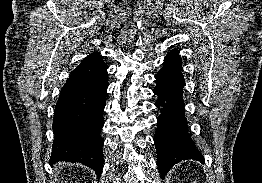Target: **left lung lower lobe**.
<instances>
[{
	"label": "left lung lower lobe",
	"instance_id": "1",
	"mask_svg": "<svg viewBox=\"0 0 262 183\" xmlns=\"http://www.w3.org/2000/svg\"><path fill=\"white\" fill-rule=\"evenodd\" d=\"M158 96L155 106L160 108L154 143L157 165L164 176L169 169L182 160L194 159L204 163V158L194 145L184 114L182 90L185 79L179 51L173 49L164 59V65L155 76Z\"/></svg>",
	"mask_w": 262,
	"mask_h": 183
}]
</instances>
